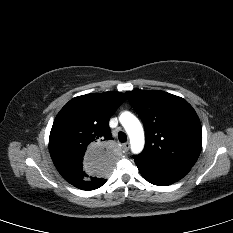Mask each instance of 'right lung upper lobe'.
Listing matches in <instances>:
<instances>
[{"label": "right lung upper lobe", "mask_w": 233, "mask_h": 233, "mask_svg": "<svg viewBox=\"0 0 233 233\" xmlns=\"http://www.w3.org/2000/svg\"><path fill=\"white\" fill-rule=\"evenodd\" d=\"M125 99L120 92L86 94L71 99L60 110L50 132L49 150L67 182L100 181L108 173L111 162L105 159L106 145L112 140L108 121ZM91 153L96 162L88 160ZM98 159L105 161L99 165Z\"/></svg>", "instance_id": "right-lung-upper-lobe-1"}]
</instances>
